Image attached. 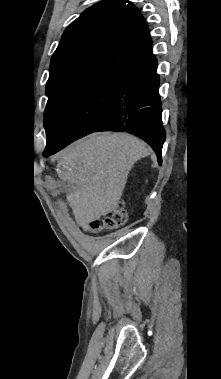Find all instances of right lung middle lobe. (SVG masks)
Returning <instances> with one entry per match:
<instances>
[{"label":"right lung middle lobe","instance_id":"dd1d6c3e","mask_svg":"<svg viewBox=\"0 0 221 379\" xmlns=\"http://www.w3.org/2000/svg\"><path fill=\"white\" fill-rule=\"evenodd\" d=\"M119 77H98L48 95L44 114L47 144L92 133L112 108Z\"/></svg>","mask_w":221,"mask_h":379}]
</instances>
